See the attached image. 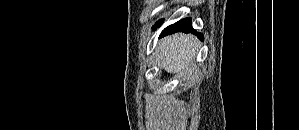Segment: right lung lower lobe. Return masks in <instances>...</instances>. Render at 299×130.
Returning <instances> with one entry per match:
<instances>
[{
    "label": "right lung lower lobe",
    "mask_w": 299,
    "mask_h": 130,
    "mask_svg": "<svg viewBox=\"0 0 299 130\" xmlns=\"http://www.w3.org/2000/svg\"><path fill=\"white\" fill-rule=\"evenodd\" d=\"M191 18H185V19H182L180 21H178L177 23L173 24V25H170L168 26L167 28H165L162 33H161V36H164V35H168V34H172V33H175V32H185V33H188V32H192V33H195L197 34V36L203 40V34L201 33H197L191 26ZM163 23V20H160L158 21L153 29L156 30L161 24Z\"/></svg>",
    "instance_id": "right-lung-lower-lobe-1"
}]
</instances>
